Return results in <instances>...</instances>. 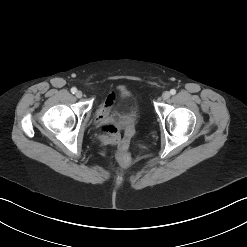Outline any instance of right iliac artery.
I'll return each instance as SVG.
<instances>
[{"instance_id":"82829eb1","label":"right iliac artery","mask_w":247,"mask_h":247,"mask_svg":"<svg viewBox=\"0 0 247 247\" xmlns=\"http://www.w3.org/2000/svg\"><path fill=\"white\" fill-rule=\"evenodd\" d=\"M71 92L75 94L77 92V89L75 87L71 88Z\"/></svg>"}]
</instances>
